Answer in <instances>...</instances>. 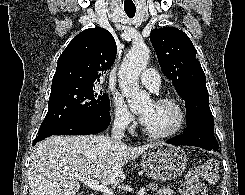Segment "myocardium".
Returning <instances> with one entry per match:
<instances>
[{
  "label": "myocardium",
  "instance_id": "f54148a6",
  "mask_svg": "<svg viewBox=\"0 0 245 195\" xmlns=\"http://www.w3.org/2000/svg\"><path fill=\"white\" fill-rule=\"evenodd\" d=\"M154 103L173 106L177 110L178 115H179L178 122L174 128H172L171 130L167 132H163V133L152 132L149 129H147V127L143 124V127H142L143 132L148 137L152 139H158V140L168 139V138H171L179 134L185 128L187 124V113H186L184 106L177 99L168 97V96L159 97L154 101Z\"/></svg>",
  "mask_w": 245,
  "mask_h": 195
}]
</instances>
